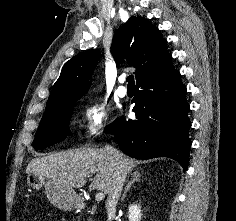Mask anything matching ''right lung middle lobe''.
Wrapping results in <instances>:
<instances>
[{
	"mask_svg": "<svg viewBox=\"0 0 236 221\" xmlns=\"http://www.w3.org/2000/svg\"><path fill=\"white\" fill-rule=\"evenodd\" d=\"M79 98L66 102L57 108L44 113L38 128L37 136L34 140L33 147L36 150L59 143L69 135L68 125L73 109L72 106Z\"/></svg>",
	"mask_w": 236,
	"mask_h": 221,
	"instance_id": "right-lung-middle-lobe-1",
	"label": "right lung middle lobe"
}]
</instances>
